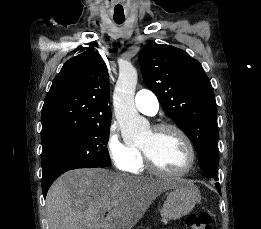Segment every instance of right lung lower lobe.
Masks as SVG:
<instances>
[{"label": "right lung lower lobe", "mask_w": 261, "mask_h": 229, "mask_svg": "<svg viewBox=\"0 0 261 229\" xmlns=\"http://www.w3.org/2000/svg\"><path fill=\"white\" fill-rule=\"evenodd\" d=\"M86 168H97V167H86ZM68 170H60L53 173H50L46 176H43L42 178V192L44 198L46 197L47 191L51 184L63 173H65Z\"/></svg>", "instance_id": "right-lung-lower-lobe-1"}]
</instances>
